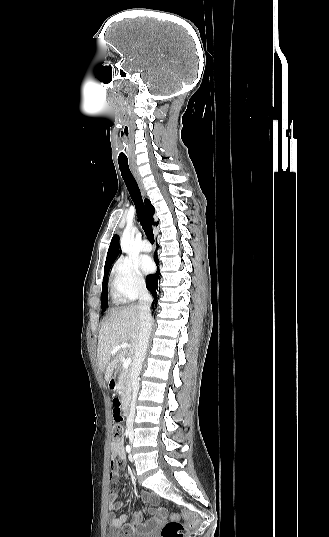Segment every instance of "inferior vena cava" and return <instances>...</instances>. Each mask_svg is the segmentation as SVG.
Here are the masks:
<instances>
[{"instance_id":"obj_1","label":"inferior vena cava","mask_w":329,"mask_h":537,"mask_svg":"<svg viewBox=\"0 0 329 537\" xmlns=\"http://www.w3.org/2000/svg\"><path fill=\"white\" fill-rule=\"evenodd\" d=\"M152 303V297L146 287L140 289L139 297V334H138V343L133 358L132 370H131V383L133 389L131 408L129 416L126 420V425L129 431H133V423L135 417V406L136 398L139 391V374L142 369V365L146 356V351L148 347L149 337L152 328V316L150 311V306Z\"/></svg>"}]
</instances>
